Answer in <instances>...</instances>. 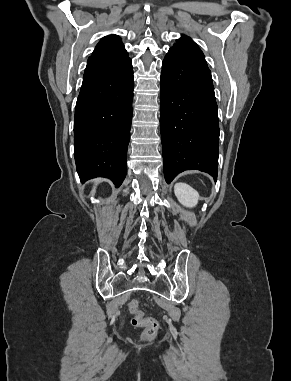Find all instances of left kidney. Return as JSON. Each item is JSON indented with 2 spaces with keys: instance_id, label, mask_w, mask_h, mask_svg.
Masks as SVG:
<instances>
[{
  "instance_id": "left-kidney-1",
  "label": "left kidney",
  "mask_w": 291,
  "mask_h": 381,
  "mask_svg": "<svg viewBox=\"0 0 291 381\" xmlns=\"http://www.w3.org/2000/svg\"><path fill=\"white\" fill-rule=\"evenodd\" d=\"M174 193L178 201L185 207L192 208L198 203V192L186 183H176Z\"/></svg>"
}]
</instances>
